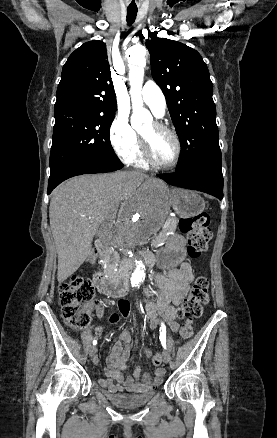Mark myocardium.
Segmentation results:
<instances>
[{
	"instance_id": "obj_1",
	"label": "myocardium",
	"mask_w": 277,
	"mask_h": 438,
	"mask_svg": "<svg viewBox=\"0 0 277 438\" xmlns=\"http://www.w3.org/2000/svg\"><path fill=\"white\" fill-rule=\"evenodd\" d=\"M152 123H153L155 129L162 131V132H164L172 137V139L175 142V146H176L175 156H174V159L170 163L160 162L154 155L150 138L140 134L139 138H140L143 156L147 160V162H149L151 165H153L157 168H162V169L173 168L178 164L180 157H181V153H182V145H181L180 138H179L178 134L173 129L166 126L162 122L153 121Z\"/></svg>"
}]
</instances>
